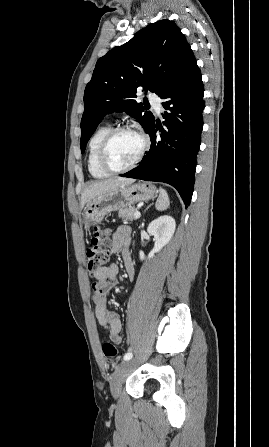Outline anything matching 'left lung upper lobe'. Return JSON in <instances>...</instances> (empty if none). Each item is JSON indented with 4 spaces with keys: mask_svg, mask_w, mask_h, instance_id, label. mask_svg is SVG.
<instances>
[{
    "mask_svg": "<svg viewBox=\"0 0 269 447\" xmlns=\"http://www.w3.org/2000/svg\"><path fill=\"white\" fill-rule=\"evenodd\" d=\"M188 48L190 45L179 27L173 21L160 20L101 57L84 92L81 152L102 118L111 112L125 111L139 120L146 131L154 116L145 111V99L144 103L133 99L137 89L160 96Z\"/></svg>",
    "mask_w": 269,
    "mask_h": 447,
    "instance_id": "obj_1",
    "label": "left lung upper lobe"
}]
</instances>
